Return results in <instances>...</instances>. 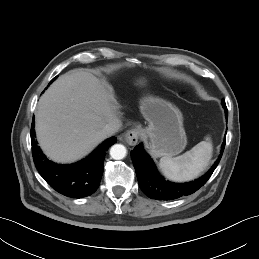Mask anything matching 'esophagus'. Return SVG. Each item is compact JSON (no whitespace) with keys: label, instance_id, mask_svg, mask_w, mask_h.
I'll return each mask as SVG.
<instances>
[{"label":"esophagus","instance_id":"1","mask_svg":"<svg viewBox=\"0 0 259 259\" xmlns=\"http://www.w3.org/2000/svg\"><path fill=\"white\" fill-rule=\"evenodd\" d=\"M139 137H140V130L137 129V128H133V129H130L128 130L124 136H123V139L124 141L130 145V146H134L137 144L138 140H139Z\"/></svg>","mask_w":259,"mask_h":259}]
</instances>
